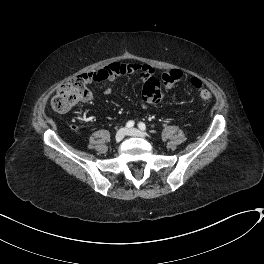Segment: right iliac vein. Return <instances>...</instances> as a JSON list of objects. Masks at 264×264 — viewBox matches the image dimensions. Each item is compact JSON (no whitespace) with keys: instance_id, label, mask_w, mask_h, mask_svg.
Masks as SVG:
<instances>
[{"instance_id":"right-iliac-vein-1","label":"right iliac vein","mask_w":264,"mask_h":264,"mask_svg":"<svg viewBox=\"0 0 264 264\" xmlns=\"http://www.w3.org/2000/svg\"><path fill=\"white\" fill-rule=\"evenodd\" d=\"M126 134H127L126 128L119 129L116 133V136H115L116 141L120 142L125 137Z\"/></svg>"}]
</instances>
